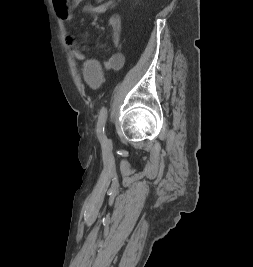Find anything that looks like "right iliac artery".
<instances>
[{"mask_svg": "<svg viewBox=\"0 0 253 267\" xmlns=\"http://www.w3.org/2000/svg\"><path fill=\"white\" fill-rule=\"evenodd\" d=\"M107 118V109L102 108L97 123V136L102 146L106 147L108 145V139L105 135V122Z\"/></svg>", "mask_w": 253, "mask_h": 267, "instance_id": "obj_1", "label": "right iliac artery"}]
</instances>
